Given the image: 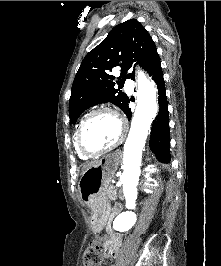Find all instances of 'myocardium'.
I'll return each instance as SVG.
<instances>
[{
    "instance_id": "myocardium-1",
    "label": "myocardium",
    "mask_w": 221,
    "mask_h": 266,
    "mask_svg": "<svg viewBox=\"0 0 221 266\" xmlns=\"http://www.w3.org/2000/svg\"><path fill=\"white\" fill-rule=\"evenodd\" d=\"M102 113L111 114L117 118V120L119 121V124H120V134H119L118 138L109 146H106V147L101 148V149H91L86 145L85 140H84L85 130H86L87 126L89 125V123L91 122V120L95 116L102 114ZM127 130H128V128H127L126 121L116 110H114L112 108H107V107L98 108V109L92 111L91 113H89L84 118V120L82 121V123L79 127V130H78V134H77V145L83 154H85L87 156H98V155H101L103 153H106V152L114 149L120 143H122V141L126 137Z\"/></svg>"
}]
</instances>
